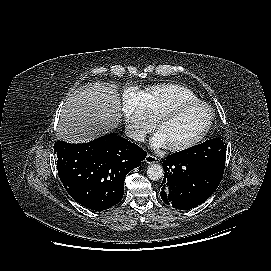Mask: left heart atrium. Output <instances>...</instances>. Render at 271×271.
Segmentation results:
<instances>
[{"instance_id":"obj_1","label":"left heart atrium","mask_w":271,"mask_h":271,"mask_svg":"<svg viewBox=\"0 0 271 271\" xmlns=\"http://www.w3.org/2000/svg\"><path fill=\"white\" fill-rule=\"evenodd\" d=\"M151 146L154 148H164L167 146L166 141L160 131L154 133L151 139Z\"/></svg>"}]
</instances>
